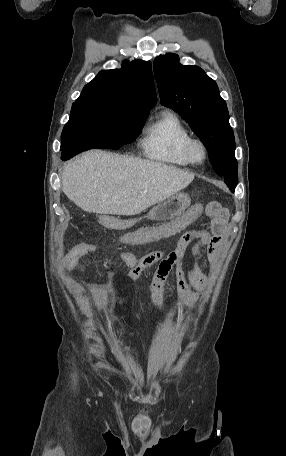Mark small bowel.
Returning <instances> with one entry per match:
<instances>
[{"label":"small bowel","instance_id":"c3829d8e","mask_svg":"<svg viewBox=\"0 0 286 456\" xmlns=\"http://www.w3.org/2000/svg\"><path fill=\"white\" fill-rule=\"evenodd\" d=\"M202 205H196L187 210L182 216L160 226L142 227L134 232L124 234L119 242L126 244L147 243L172 237L185 231L202 214ZM211 222L209 227H201L184 232L179 238L176 248L170 252L154 251L140 259L129 252H122L120 258L129 267L127 279L130 283L136 282L144 270L158 265L152 281L153 306L155 311L163 316L164 286L167 278L173 272L176 291L181 300L194 305L199 300V294L191 286L203 290L207 286V278L197 263L200 252L205 249L211 265H217L221 252L225 247V232L227 213L223 209L210 211ZM97 251V245L90 241H83L73 246L63 261V269L71 272L79 260ZM189 260L187 266L185 261ZM96 289L90 290L92 296L98 295ZM98 315L103 318L104 305L98 302Z\"/></svg>","mask_w":286,"mask_h":456}]
</instances>
